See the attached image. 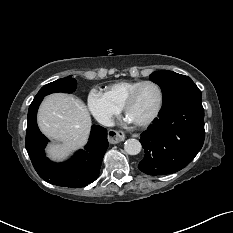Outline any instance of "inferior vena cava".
<instances>
[{
	"instance_id": "obj_1",
	"label": "inferior vena cava",
	"mask_w": 233,
	"mask_h": 233,
	"mask_svg": "<svg viewBox=\"0 0 233 233\" xmlns=\"http://www.w3.org/2000/svg\"><path fill=\"white\" fill-rule=\"evenodd\" d=\"M99 122L104 125V126H113L114 125V121L111 119V117L109 116H103Z\"/></svg>"
}]
</instances>
